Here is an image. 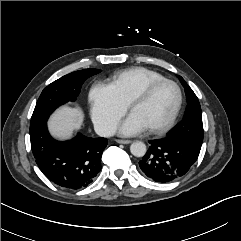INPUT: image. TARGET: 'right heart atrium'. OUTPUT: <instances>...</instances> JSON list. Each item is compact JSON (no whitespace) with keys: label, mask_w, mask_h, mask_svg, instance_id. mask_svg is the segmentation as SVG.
<instances>
[{"label":"right heart atrium","mask_w":241,"mask_h":241,"mask_svg":"<svg viewBox=\"0 0 241 241\" xmlns=\"http://www.w3.org/2000/svg\"><path fill=\"white\" fill-rule=\"evenodd\" d=\"M91 116L97 130L110 135L128 109L111 84L97 82L89 93Z\"/></svg>","instance_id":"d8ad5b80"}]
</instances>
